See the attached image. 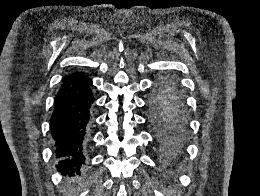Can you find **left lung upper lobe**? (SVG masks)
Wrapping results in <instances>:
<instances>
[{"label":"left lung upper lobe","instance_id":"1","mask_svg":"<svg viewBox=\"0 0 260 196\" xmlns=\"http://www.w3.org/2000/svg\"><path fill=\"white\" fill-rule=\"evenodd\" d=\"M149 121L158 144L167 150L180 148L190 135L189 113L176 80L163 78L148 99Z\"/></svg>","mask_w":260,"mask_h":196}]
</instances>
